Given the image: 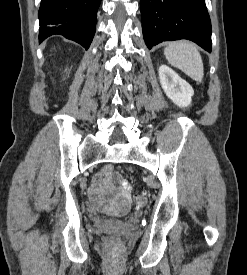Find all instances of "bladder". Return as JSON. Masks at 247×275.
Returning <instances> with one entry per match:
<instances>
[{"label":"bladder","mask_w":247,"mask_h":275,"mask_svg":"<svg viewBox=\"0 0 247 275\" xmlns=\"http://www.w3.org/2000/svg\"><path fill=\"white\" fill-rule=\"evenodd\" d=\"M122 219H123V217L119 216V217H116L114 220H115V221H120V220H122Z\"/></svg>","instance_id":"obj_1"}]
</instances>
